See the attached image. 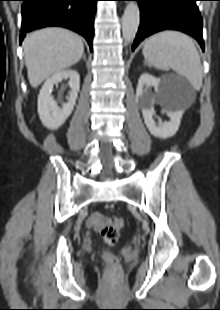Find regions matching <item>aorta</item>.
<instances>
[{"instance_id": "obj_1", "label": "aorta", "mask_w": 220, "mask_h": 310, "mask_svg": "<svg viewBox=\"0 0 220 310\" xmlns=\"http://www.w3.org/2000/svg\"><path fill=\"white\" fill-rule=\"evenodd\" d=\"M140 22V11L137 3L129 2L122 17V34L128 44L133 41Z\"/></svg>"}]
</instances>
